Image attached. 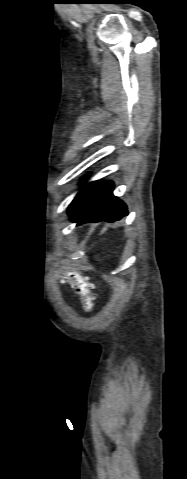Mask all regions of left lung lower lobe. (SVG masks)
<instances>
[{"label": "left lung lower lobe", "instance_id": "obj_1", "mask_svg": "<svg viewBox=\"0 0 187 479\" xmlns=\"http://www.w3.org/2000/svg\"><path fill=\"white\" fill-rule=\"evenodd\" d=\"M111 181L85 185L74 198L68 212L77 225L85 222H114L128 215L126 205L113 195Z\"/></svg>", "mask_w": 187, "mask_h": 479}]
</instances>
